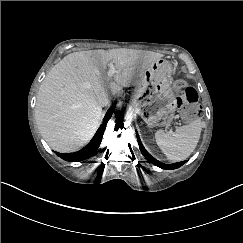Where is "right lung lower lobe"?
Masks as SVG:
<instances>
[{
  "label": "right lung lower lobe",
  "instance_id": "98d812e1",
  "mask_svg": "<svg viewBox=\"0 0 243 243\" xmlns=\"http://www.w3.org/2000/svg\"><path fill=\"white\" fill-rule=\"evenodd\" d=\"M114 106H112L108 112L106 113L103 123L101 124V126L99 127L98 131L96 132L95 136L93 137V139L89 142V144L87 146H85L83 149L79 150L78 152H74V153H57L56 154L61 157L62 159L66 160V161H71V162H79L85 159H88L89 157H91L98 149L102 137H103V133L105 131L106 128V123L108 122V120L110 119V117L112 116L113 112H114Z\"/></svg>",
  "mask_w": 243,
  "mask_h": 243
}]
</instances>
